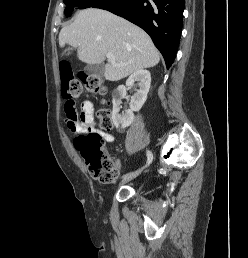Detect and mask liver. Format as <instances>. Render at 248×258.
I'll return each instance as SVG.
<instances>
[{"mask_svg":"<svg viewBox=\"0 0 248 258\" xmlns=\"http://www.w3.org/2000/svg\"><path fill=\"white\" fill-rule=\"evenodd\" d=\"M77 48V57L87 64H101L107 53L114 62L105 65L106 80L118 81L138 70L154 67L160 55L149 35L141 28L108 11L87 8L74 22L63 27L59 45Z\"/></svg>","mask_w":248,"mask_h":258,"instance_id":"obj_1","label":"liver"}]
</instances>
